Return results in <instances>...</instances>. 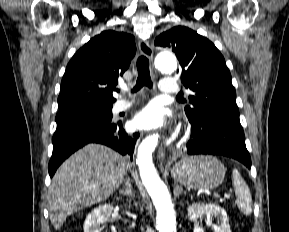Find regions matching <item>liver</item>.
<instances>
[{
	"instance_id": "6515ba94",
	"label": "liver",
	"mask_w": 289,
	"mask_h": 232,
	"mask_svg": "<svg viewBox=\"0 0 289 232\" xmlns=\"http://www.w3.org/2000/svg\"><path fill=\"white\" fill-rule=\"evenodd\" d=\"M128 159L112 149L89 144L57 169L49 187L51 223L59 230L72 213L106 200L121 185Z\"/></svg>"
}]
</instances>
